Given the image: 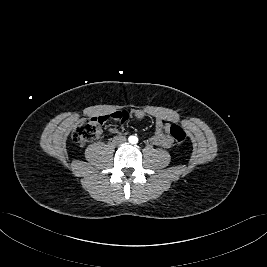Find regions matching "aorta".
<instances>
[{
	"label": "aorta",
	"mask_w": 267,
	"mask_h": 267,
	"mask_svg": "<svg viewBox=\"0 0 267 267\" xmlns=\"http://www.w3.org/2000/svg\"><path fill=\"white\" fill-rule=\"evenodd\" d=\"M129 142H130L131 144H136V143L138 142V139H137V137H135V136H130V137H129Z\"/></svg>",
	"instance_id": "762f6f07"
}]
</instances>
